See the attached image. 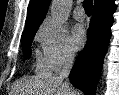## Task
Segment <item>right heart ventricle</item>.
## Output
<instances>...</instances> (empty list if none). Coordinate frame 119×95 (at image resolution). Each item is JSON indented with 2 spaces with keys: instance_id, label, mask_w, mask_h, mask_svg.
Returning a JSON list of instances; mask_svg holds the SVG:
<instances>
[{
  "instance_id": "e07e8e85",
  "label": "right heart ventricle",
  "mask_w": 119,
  "mask_h": 95,
  "mask_svg": "<svg viewBox=\"0 0 119 95\" xmlns=\"http://www.w3.org/2000/svg\"><path fill=\"white\" fill-rule=\"evenodd\" d=\"M35 70L40 74H49L51 70L45 56L40 52L36 53Z\"/></svg>"
}]
</instances>
